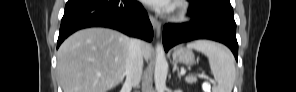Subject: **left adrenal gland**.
I'll list each match as a JSON object with an SVG mask.
<instances>
[{
	"mask_svg": "<svg viewBox=\"0 0 296 92\" xmlns=\"http://www.w3.org/2000/svg\"><path fill=\"white\" fill-rule=\"evenodd\" d=\"M177 71V75H178V78L180 79L181 78V73H180V70H179V67L177 66V63H173V72Z\"/></svg>",
	"mask_w": 296,
	"mask_h": 92,
	"instance_id": "obj_1",
	"label": "left adrenal gland"
}]
</instances>
